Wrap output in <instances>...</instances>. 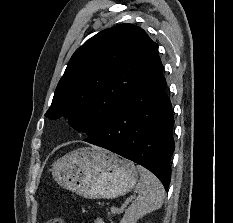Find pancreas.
<instances>
[{"mask_svg": "<svg viewBox=\"0 0 233 223\" xmlns=\"http://www.w3.org/2000/svg\"><path fill=\"white\" fill-rule=\"evenodd\" d=\"M111 213H118V207H111Z\"/></svg>", "mask_w": 233, "mask_h": 223, "instance_id": "1", "label": "pancreas"}]
</instances>
